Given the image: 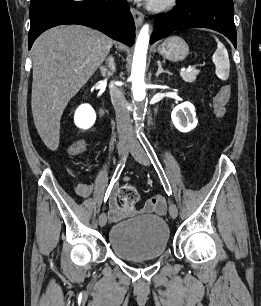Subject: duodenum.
<instances>
[{
	"label": "duodenum",
	"instance_id": "410a0bca",
	"mask_svg": "<svg viewBox=\"0 0 261 306\" xmlns=\"http://www.w3.org/2000/svg\"><path fill=\"white\" fill-rule=\"evenodd\" d=\"M100 114L101 116H105V111L102 108L100 109Z\"/></svg>",
	"mask_w": 261,
	"mask_h": 306
}]
</instances>
